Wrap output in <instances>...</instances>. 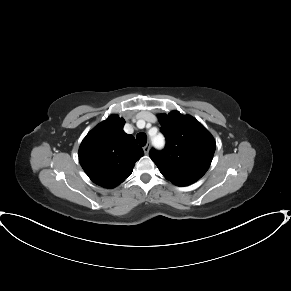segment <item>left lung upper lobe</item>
<instances>
[{
    "label": "left lung upper lobe",
    "mask_w": 291,
    "mask_h": 291,
    "mask_svg": "<svg viewBox=\"0 0 291 291\" xmlns=\"http://www.w3.org/2000/svg\"><path fill=\"white\" fill-rule=\"evenodd\" d=\"M166 138L163 151L152 149L150 158L159 171L177 186H187L208 170L216 143L209 131L195 118L172 111L159 115Z\"/></svg>",
    "instance_id": "1"
}]
</instances>
